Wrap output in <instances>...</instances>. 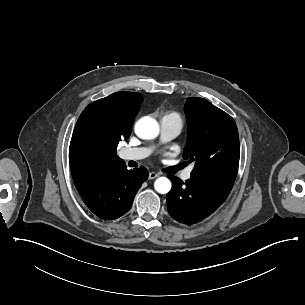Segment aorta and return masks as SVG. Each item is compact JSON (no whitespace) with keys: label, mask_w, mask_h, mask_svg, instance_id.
Returning <instances> with one entry per match:
<instances>
[{"label":"aorta","mask_w":305,"mask_h":305,"mask_svg":"<svg viewBox=\"0 0 305 305\" xmlns=\"http://www.w3.org/2000/svg\"><path fill=\"white\" fill-rule=\"evenodd\" d=\"M135 133L141 139H154L159 134V125L155 119L145 116L136 122ZM171 187V181L167 177H159L154 182V188L160 194H167Z\"/></svg>","instance_id":"obj_1"}]
</instances>
